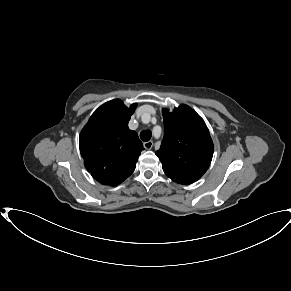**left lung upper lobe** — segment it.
<instances>
[{"instance_id":"5c2ea615","label":"left lung upper lobe","mask_w":291,"mask_h":291,"mask_svg":"<svg viewBox=\"0 0 291 291\" xmlns=\"http://www.w3.org/2000/svg\"><path fill=\"white\" fill-rule=\"evenodd\" d=\"M164 139L156 152L165 174L179 184L197 181L208 169L213 142L203 119L187 105L162 110Z\"/></svg>"}]
</instances>
